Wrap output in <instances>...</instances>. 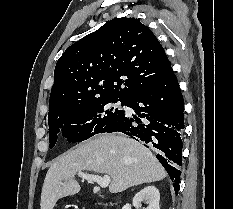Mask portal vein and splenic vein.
<instances>
[{"label":"portal vein and splenic vein","mask_w":233,"mask_h":209,"mask_svg":"<svg viewBox=\"0 0 233 209\" xmlns=\"http://www.w3.org/2000/svg\"><path fill=\"white\" fill-rule=\"evenodd\" d=\"M78 176L81 177L82 179H86L88 181L97 182L98 185L101 188H106L109 185L110 181H111V178H110L109 175H104L102 177V176H98V175H93V174H87V173H84V172H79Z\"/></svg>","instance_id":"18ae733b"}]
</instances>
